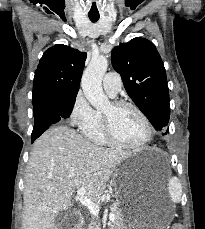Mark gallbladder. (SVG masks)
<instances>
[{"instance_id": "1", "label": "gallbladder", "mask_w": 205, "mask_h": 229, "mask_svg": "<svg viewBox=\"0 0 205 229\" xmlns=\"http://www.w3.org/2000/svg\"><path fill=\"white\" fill-rule=\"evenodd\" d=\"M60 222H62L61 229H69L72 223V217L61 211L55 219V224L58 225Z\"/></svg>"}]
</instances>
